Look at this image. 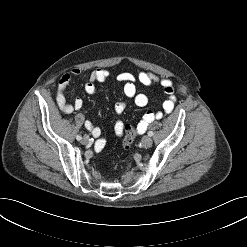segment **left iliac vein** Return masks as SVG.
<instances>
[{"label": "left iliac vein", "instance_id": "left-iliac-vein-1", "mask_svg": "<svg viewBox=\"0 0 247 247\" xmlns=\"http://www.w3.org/2000/svg\"><path fill=\"white\" fill-rule=\"evenodd\" d=\"M142 145L144 148H149L152 145V139L149 136H144L142 139Z\"/></svg>", "mask_w": 247, "mask_h": 247}]
</instances>
